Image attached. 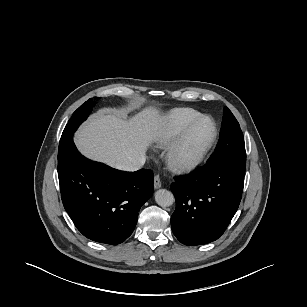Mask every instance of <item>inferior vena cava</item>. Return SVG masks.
Returning a JSON list of instances; mask_svg holds the SVG:
<instances>
[{"label":"inferior vena cava","mask_w":307,"mask_h":307,"mask_svg":"<svg viewBox=\"0 0 307 307\" xmlns=\"http://www.w3.org/2000/svg\"><path fill=\"white\" fill-rule=\"evenodd\" d=\"M145 157H139L131 162H127L125 164H119L116 166L117 169L124 170V171H136L142 168L145 163Z\"/></svg>","instance_id":"602c4592"}]
</instances>
